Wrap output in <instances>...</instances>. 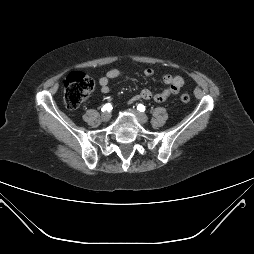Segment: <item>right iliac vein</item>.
Segmentation results:
<instances>
[{
	"label": "right iliac vein",
	"instance_id": "1",
	"mask_svg": "<svg viewBox=\"0 0 254 254\" xmlns=\"http://www.w3.org/2000/svg\"><path fill=\"white\" fill-rule=\"evenodd\" d=\"M111 118V114L109 112H104L102 115H101V119L104 121V122H107L109 121Z\"/></svg>",
	"mask_w": 254,
	"mask_h": 254
}]
</instances>
